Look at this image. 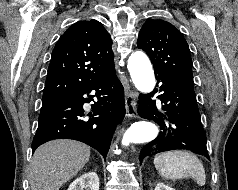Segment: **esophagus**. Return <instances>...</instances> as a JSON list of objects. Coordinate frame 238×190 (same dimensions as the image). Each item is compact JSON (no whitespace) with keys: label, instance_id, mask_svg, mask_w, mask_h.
<instances>
[{"label":"esophagus","instance_id":"34e87169","mask_svg":"<svg viewBox=\"0 0 238 190\" xmlns=\"http://www.w3.org/2000/svg\"><path fill=\"white\" fill-rule=\"evenodd\" d=\"M137 97L136 91H128L125 94V107L127 117H137Z\"/></svg>","mask_w":238,"mask_h":190}]
</instances>
